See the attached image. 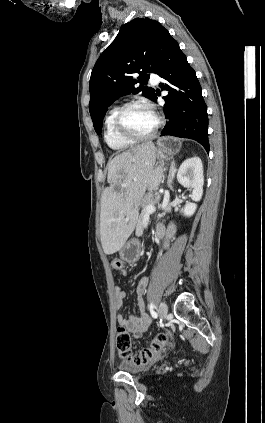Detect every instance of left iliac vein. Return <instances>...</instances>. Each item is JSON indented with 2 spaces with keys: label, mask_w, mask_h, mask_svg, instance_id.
<instances>
[{
  "label": "left iliac vein",
  "mask_w": 265,
  "mask_h": 423,
  "mask_svg": "<svg viewBox=\"0 0 265 423\" xmlns=\"http://www.w3.org/2000/svg\"><path fill=\"white\" fill-rule=\"evenodd\" d=\"M168 312V307L165 302H161L159 305V313L161 318L165 319Z\"/></svg>",
  "instance_id": "obj_1"
}]
</instances>
